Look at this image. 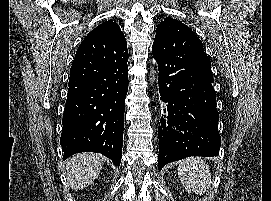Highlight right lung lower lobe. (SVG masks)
I'll list each match as a JSON object with an SVG mask.
<instances>
[{"label":"right lung lower lobe","instance_id":"obj_1","mask_svg":"<svg viewBox=\"0 0 271 201\" xmlns=\"http://www.w3.org/2000/svg\"><path fill=\"white\" fill-rule=\"evenodd\" d=\"M127 60V47L114 39H85L80 44L70 71L62 120L64 160L80 152H97L120 165Z\"/></svg>","mask_w":271,"mask_h":201}]
</instances>
